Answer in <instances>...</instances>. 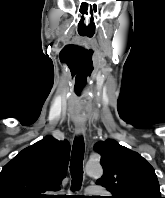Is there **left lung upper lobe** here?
Returning a JSON list of instances; mask_svg holds the SVG:
<instances>
[{
  "mask_svg": "<svg viewBox=\"0 0 165 198\" xmlns=\"http://www.w3.org/2000/svg\"><path fill=\"white\" fill-rule=\"evenodd\" d=\"M94 149L104 170L97 184L112 192L110 198H161L153 167L137 152L115 140L100 141Z\"/></svg>",
  "mask_w": 165,
  "mask_h": 198,
  "instance_id": "obj_1",
  "label": "left lung upper lobe"
}]
</instances>
